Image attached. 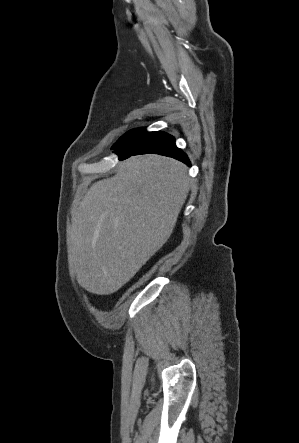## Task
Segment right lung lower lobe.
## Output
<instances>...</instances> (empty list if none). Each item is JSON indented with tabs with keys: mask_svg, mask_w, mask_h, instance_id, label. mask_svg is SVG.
Listing matches in <instances>:
<instances>
[{
	"mask_svg": "<svg viewBox=\"0 0 299 443\" xmlns=\"http://www.w3.org/2000/svg\"><path fill=\"white\" fill-rule=\"evenodd\" d=\"M112 149L116 150L120 160L132 155L155 153L173 157L190 165L186 154L176 147L174 138L161 131L147 132L143 128L131 130L124 134Z\"/></svg>",
	"mask_w": 299,
	"mask_h": 443,
	"instance_id": "98d812e1",
	"label": "right lung lower lobe"
}]
</instances>
